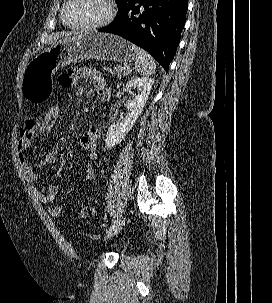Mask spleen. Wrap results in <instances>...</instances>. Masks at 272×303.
I'll return each instance as SVG.
<instances>
[{
    "mask_svg": "<svg viewBox=\"0 0 272 303\" xmlns=\"http://www.w3.org/2000/svg\"><path fill=\"white\" fill-rule=\"evenodd\" d=\"M133 50L136 53L135 70L142 76H148L155 73L156 62L146 51L132 45Z\"/></svg>",
    "mask_w": 272,
    "mask_h": 303,
    "instance_id": "3e777b00",
    "label": "spleen"
}]
</instances>
